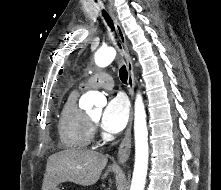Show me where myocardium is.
<instances>
[{
	"instance_id": "f54148a6",
	"label": "myocardium",
	"mask_w": 221,
	"mask_h": 190,
	"mask_svg": "<svg viewBox=\"0 0 221 190\" xmlns=\"http://www.w3.org/2000/svg\"><path fill=\"white\" fill-rule=\"evenodd\" d=\"M90 122H91V123H94L95 121L91 119Z\"/></svg>"
}]
</instances>
